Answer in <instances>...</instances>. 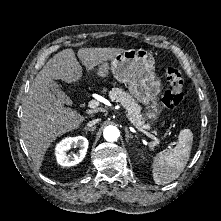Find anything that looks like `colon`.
Listing matches in <instances>:
<instances>
[{
  "label": "colon",
  "mask_w": 221,
  "mask_h": 221,
  "mask_svg": "<svg viewBox=\"0 0 221 221\" xmlns=\"http://www.w3.org/2000/svg\"><path fill=\"white\" fill-rule=\"evenodd\" d=\"M165 75L170 88L164 93L162 105L167 112H172L183 100L184 77L180 70L172 67L166 69Z\"/></svg>",
  "instance_id": "colon-1"
}]
</instances>
